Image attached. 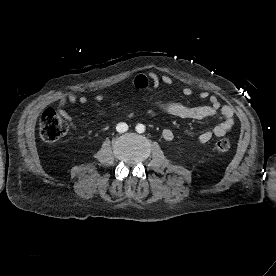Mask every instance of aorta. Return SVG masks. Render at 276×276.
<instances>
[{
  "label": "aorta",
  "mask_w": 276,
  "mask_h": 276,
  "mask_svg": "<svg viewBox=\"0 0 276 276\" xmlns=\"http://www.w3.org/2000/svg\"><path fill=\"white\" fill-rule=\"evenodd\" d=\"M135 129L138 133H144L145 132V126L143 124H137Z\"/></svg>",
  "instance_id": "aorta-1"
}]
</instances>
